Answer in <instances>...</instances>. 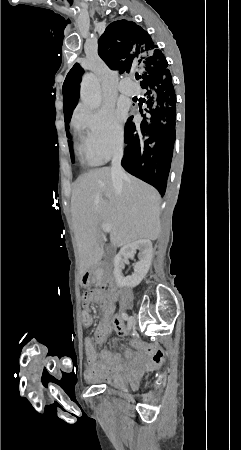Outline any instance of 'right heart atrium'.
Here are the masks:
<instances>
[{"label": "right heart atrium", "instance_id": "d8ad5b80", "mask_svg": "<svg viewBox=\"0 0 241 450\" xmlns=\"http://www.w3.org/2000/svg\"><path fill=\"white\" fill-rule=\"evenodd\" d=\"M73 122L75 130H84V155L103 161L121 153L124 129L111 107L101 106L90 116H74Z\"/></svg>", "mask_w": 241, "mask_h": 450}]
</instances>
